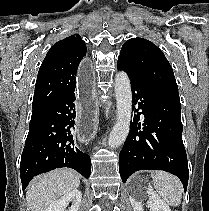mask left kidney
I'll return each instance as SVG.
<instances>
[{"instance_id": "obj_1", "label": "left kidney", "mask_w": 209, "mask_h": 211, "mask_svg": "<svg viewBox=\"0 0 209 211\" xmlns=\"http://www.w3.org/2000/svg\"><path fill=\"white\" fill-rule=\"evenodd\" d=\"M145 190L150 197L147 201L150 211H171L169 206L160 198L150 184L145 187ZM141 195L142 193L139 191V185L135 183L132 184L130 187L129 199L134 211H144L142 200H140Z\"/></svg>"}]
</instances>
